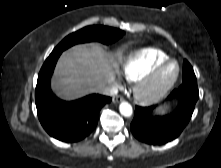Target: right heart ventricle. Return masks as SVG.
I'll return each instance as SVG.
<instances>
[{
    "mask_svg": "<svg viewBox=\"0 0 221 168\" xmlns=\"http://www.w3.org/2000/svg\"><path fill=\"white\" fill-rule=\"evenodd\" d=\"M167 59L168 55L160 49H141L129 55L123 65L122 71L128 80L137 81Z\"/></svg>",
    "mask_w": 221,
    "mask_h": 168,
    "instance_id": "e07e8e85",
    "label": "right heart ventricle"
}]
</instances>
